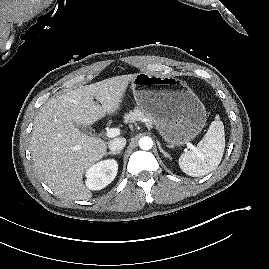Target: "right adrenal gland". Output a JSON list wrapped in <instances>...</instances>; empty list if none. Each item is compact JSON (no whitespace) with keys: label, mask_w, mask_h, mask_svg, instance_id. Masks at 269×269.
Here are the masks:
<instances>
[{"label":"right adrenal gland","mask_w":269,"mask_h":269,"mask_svg":"<svg viewBox=\"0 0 269 269\" xmlns=\"http://www.w3.org/2000/svg\"><path fill=\"white\" fill-rule=\"evenodd\" d=\"M122 151H117V152H113V151H110L108 153H106V155H117V154H120Z\"/></svg>","instance_id":"2a0ac1e0"}]
</instances>
